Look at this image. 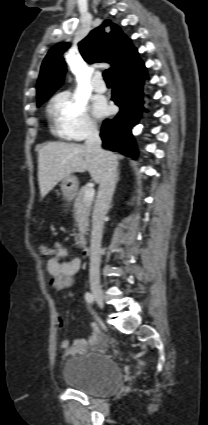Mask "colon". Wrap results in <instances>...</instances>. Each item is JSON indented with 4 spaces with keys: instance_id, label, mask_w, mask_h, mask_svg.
I'll use <instances>...</instances> for the list:
<instances>
[{
    "instance_id": "5ec220e1",
    "label": "colon",
    "mask_w": 208,
    "mask_h": 425,
    "mask_svg": "<svg viewBox=\"0 0 208 425\" xmlns=\"http://www.w3.org/2000/svg\"><path fill=\"white\" fill-rule=\"evenodd\" d=\"M39 252L43 257H49L54 254V250L46 244H41L39 246Z\"/></svg>"
}]
</instances>
